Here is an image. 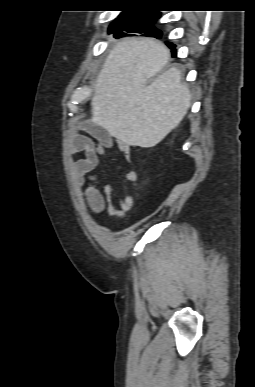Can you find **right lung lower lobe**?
I'll use <instances>...</instances> for the list:
<instances>
[{
    "instance_id": "obj_1",
    "label": "right lung lower lobe",
    "mask_w": 255,
    "mask_h": 387,
    "mask_svg": "<svg viewBox=\"0 0 255 387\" xmlns=\"http://www.w3.org/2000/svg\"><path fill=\"white\" fill-rule=\"evenodd\" d=\"M145 34V36H152V37H156V38H160V36L161 35H158V34H155V32L153 31V32H149V31H147V32H144ZM148 34H152V35H148ZM124 34H122V35H120V36H123ZM116 37H119V36H117L116 35ZM168 46L172 49V56L173 57H175V55H176V50H175V45H173V44H171V43H168Z\"/></svg>"
}]
</instances>
